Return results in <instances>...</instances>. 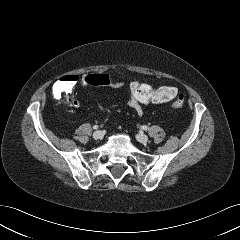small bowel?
Returning <instances> with one entry per match:
<instances>
[{"label": "small bowel", "mask_w": 240, "mask_h": 240, "mask_svg": "<svg viewBox=\"0 0 240 240\" xmlns=\"http://www.w3.org/2000/svg\"><path fill=\"white\" fill-rule=\"evenodd\" d=\"M71 103L73 105H77L78 103L76 101H71ZM128 103L131 106V108L136 112L137 115L141 116L144 113L142 104H139L138 102H136L130 95L128 96ZM117 104H112L110 107H114ZM101 109H104V107L102 105L99 106Z\"/></svg>", "instance_id": "c3829d8e"}]
</instances>
